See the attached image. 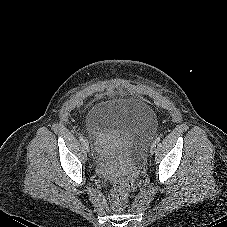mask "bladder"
<instances>
[{"label":"bladder","instance_id":"31cf9c89","mask_svg":"<svg viewBox=\"0 0 227 227\" xmlns=\"http://www.w3.org/2000/svg\"><path fill=\"white\" fill-rule=\"evenodd\" d=\"M157 124L154 111L136 99L96 103L85 117V129L91 138L114 136L121 143L112 150L129 157L142 153L156 132Z\"/></svg>","mask_w":227,"mask_h":227}]
</instances>
